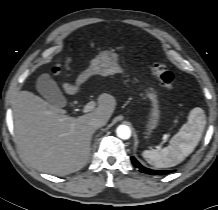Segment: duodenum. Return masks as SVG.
Listing matches in <instances>:
<instances>
[{
  "instance_id": "obj_1",
  "label": "duodenum",
  "mask_w": 218,
  "mask_h": 210,
  "mask_svg": "<svg viewBox=\"0 0 218 210\" xmlns=\"http://www.w3.org/2000/svg\"><path fill=\"white\" fill-rule=\"evenodd\" d=\"M83 82H84L83 77H81V78L79 79V83L81 84V83H83Z\"/></svg>"
}]
</instances>
